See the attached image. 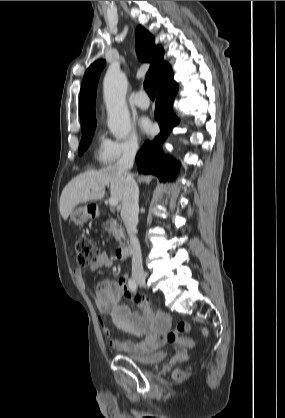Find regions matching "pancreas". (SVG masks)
I'll return each mask as SVG.
<instances>
[{
	"mask_svg": "<svg viewBox=\"0 0 285 418\" xmlns=\"http://www.w3.org/2000/svg\"><path fill=\"white\" fill-rule=\"evenodd\" d=\"M105 225L109 235L113 236L117 241L121 242L124 239V234L121 226L118 225L117 221L113 218L108 220Z\"/></svg>",
	"mask_w": 285,
	"mask_h": 418,
	"instance_id": "1",
	"label": "pancreas"
}]
</instances>
